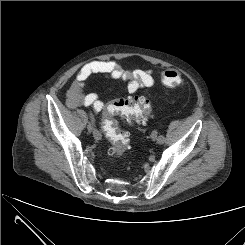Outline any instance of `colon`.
<instances>
[{
    "mask_svg": "<svg viewBox=\"0 0 245 245\" xmlns=\"http://www.w3.org/2000/svg\"><path fill=\"white\" fill-rule=\"evenodd\" d=\"M162 81L168 87L182 83V76L177 70H166ZM151 113V104L146 96L123 97L116 99L106 107L102 119V128L111 143L108 149L110 157H121L130 148V139L126 132L120 130L116 117H121L129 124H144Z\"/></svg>",
    "mask_w": 245,
    "mask_h": 245,
    "instance_id": "1",
    "label": "colon"
}]
</instances>
